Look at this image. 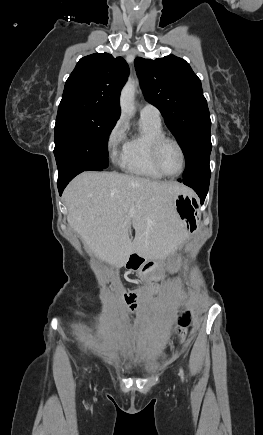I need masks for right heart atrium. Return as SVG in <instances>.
Returning a JSON list of instances; mask_svg holds the SVG:
<instances>
[{"label":"right heart atrium","instance_id":"obj_1","mask_svg":"<svg viewBox=\"0 0 263 435\" xmlns=\"http://www.w3.org/2000/svg\"><path fill=\"white\" fill-rule=\"evenodd\" d=\"M125 127L122 120H117L110 128L107 138L106 147L113 160H117L120 156V148L125 143Z\"/></svg>","mask_w":263,"mask_h":435}]
</instances>
